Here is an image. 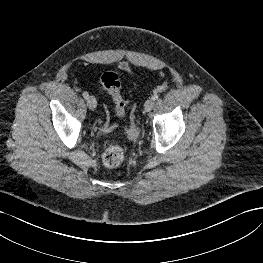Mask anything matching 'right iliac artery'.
Returning a JSON list of instances; mask_svg holds the SVG:
<instances>
[{
  "label": "right iliac artery",
  "mask_w": 263,
  "mask_h": 263,
  "mask_svg": "<svg viewBox=\"0 0 263 263\" xmlns=\"http://www.w3.org/2000/svg\"><path fill=\"white\" fill-rule=\"evenodd\" d=\"M83 97L87 99L89 97V94L87 92H83Z\"/></svg>",
  "instance_id": "obj_1"
}]
</instances>
